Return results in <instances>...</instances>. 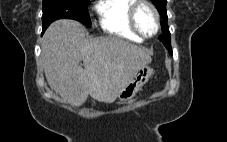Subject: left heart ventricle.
I'll return each instance as SVG.
<instances>
[{
    "label": "left heart ventricle",
    "mask_w": 227,
    "mask_h": 142,
    "mask_svg": "<svg viewBox=\"0 0 227 142\" xmlns=\"http://www.w3.org/2000/svg\"><path fill=\"white\" fill-rule=\"evenodd\" d=\"M137 22L140 29L147 35L152 34L156 28V22L153 12L147 8L142 7L137 15Z\"/></svg>",
    "instance_id": "1"
}]
</instances>
